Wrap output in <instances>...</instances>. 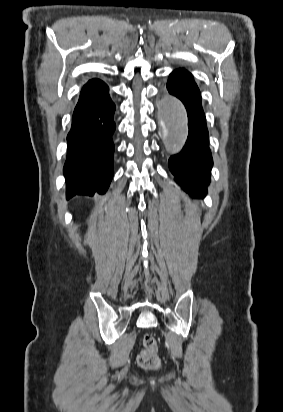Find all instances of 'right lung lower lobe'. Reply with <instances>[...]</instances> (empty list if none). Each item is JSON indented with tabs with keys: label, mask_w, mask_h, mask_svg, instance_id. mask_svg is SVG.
<instances>
[{
	"label": "right lung lower lobe",
	"mask_w": 283,
	"mask_h": 412,
	"mask_svg": "<svg viewBox=\"0 0 283 412\" xmlns=\"http://www.w3.org/2000/svg\"><path fill=\"white\" fill-rule=\"evenodd\" d=\"M115 104L108 86L90 80L75 107L64 165L67 199L106 192L113 176Z\"/></svg>",
	"instance_id": "1"
}]
</instances>
